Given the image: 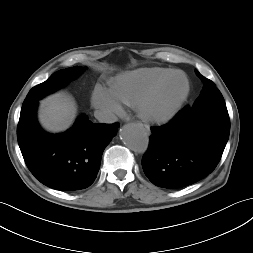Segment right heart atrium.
<instances>
[{
	"mask_svg": "<svg viewBox=\"0 0 253 253\" xmlns=\"http://www.w3.org/2000/svg\"><path fill=\"white\" fill-rule=\"evenodd\" d=\"M93 106L106 116L120 115L123 112L121 103L114 97L111 90L97 85L92 93Z\"/></svg>",
	"mask_w": 253,
	"mask_h": 253,
	"instance_id": "right-heart-atrium-1",
	"label": "right heart atrium"
}]
</instances>
